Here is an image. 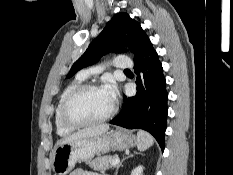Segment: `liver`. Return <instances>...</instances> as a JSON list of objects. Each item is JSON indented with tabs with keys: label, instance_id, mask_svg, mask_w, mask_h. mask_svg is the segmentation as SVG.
Instances as JSON below:
<instances>
[{
	"label": "liver",
	"instance_id": "liver-1",
	"mask_svg": "<svg viewBox=\"0 0 233 175\" xmlns=\"http://www.w3.org/2000/svg\"><path fill=\"white\" fill-rule=\"evenodd\" d=\"M108 130H109L108 124H101V125L85 128V129L79 130L78 132H76L72 135L64 137L63 139H61L58 142V145L64 144V143H69V142H72V141L80 139V138L98 136V135H101V134L107 132Z\"/></svg>",
	"mask_w": 233,
	"mask_h": 175
}]
</instances>
